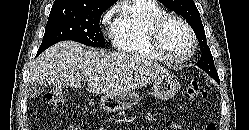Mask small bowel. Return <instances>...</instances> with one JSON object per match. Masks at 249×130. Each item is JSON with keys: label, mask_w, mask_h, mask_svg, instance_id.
<instances>
[{"label": "small bowel", "mask_w": 249, "mask_h": 130, "mask_svg": "<svg viewBox=\"0 0 249 130\" xmlns=\"http://www.w3.org/2000/svg\"><path fill=\"white\" fill-rule=\"evenodd\" d=\"M169 127H170V130H181L182 129V126L177 122H171ZM64 130H83V129L78 126H69L67 129H64Z\"/></svg>", "instance_id": "obj_1"}]
</instances>
